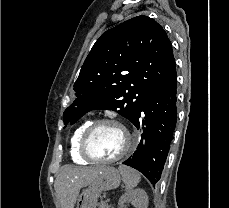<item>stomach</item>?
<instances>
[{"instance_id": "0dacf381", "label": "stomach", "mask_w": 229, "mask_h": 208, "mask_svg": "<svg viewBox=\"0 0 229 208\" xmlns=\"http://www.w3.org/2000/svg\"><path fill=\"white\" fill-rule=\"evenodd\" d=\"M120 182L119 170L112 168V166H105L104 170L99 172L98 178L93 180L88 188L82 190L77 200L76 208H96L101 192L118 188Z\"/></svg>"}]
</instances>
